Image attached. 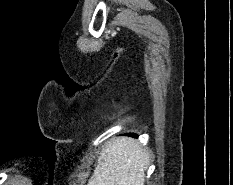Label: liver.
Instances as JSON below:
<instances>
[{
    "label": "liver",
    "instance_id": "1",
    "mask_svg": "<svg viewBox=\"0 0 233 185\" xmlns=\"http://www.w3.org/2000/svg\"><path fill=\"white\" fill-rule=\"evenodd\" d=\"M150 152L134 138L110 139L87 185H144Z\"/></svg>",
    "mask_w": 233,
    "mask_h": 185
}]
</instances>
